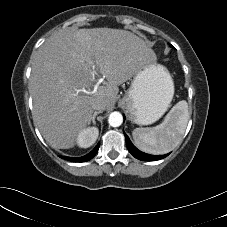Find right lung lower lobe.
<instances>
[{"instance_id": "obj_1", "label": "right lung lower lobe", "mask_w": 227, "mask_h": 227, "mask_svg": "<svg viewBox=\"0 0 227 227\" xmlns=\"http://www.w3.org/2000/svg\"><path fill=\"white\" fill-rule=\"evenodd\" d=\"M99 145L100 143L97 144V146L87 155L83 156V157H79V158H72V157H61L65 160H68V161H72V162H85V161H88L90 159H92L95 154L97 153L98 149H99Z\"/></svg>"}]
</instances>
